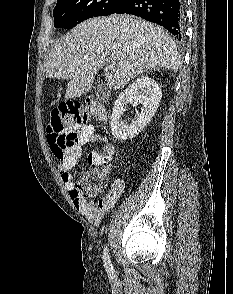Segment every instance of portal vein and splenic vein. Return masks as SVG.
Masks as SVG:
<instances>
[{
	"label": "portal vein and splenic vein",
	"instance_id": "18ae733b",
	"mask_svg": "<svg viewBox=\"0 0 233 294\" xmlns=\"http://www.w3.org/2000/svg\"><path fill=\"white\" fill-rule=\"evenodd\" d=\"M106 69H114V64H109L106 66Z\"/></svg>",
	"mask_w": 233,
	"mask_h": 294
}]
</instances>
